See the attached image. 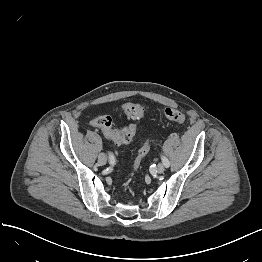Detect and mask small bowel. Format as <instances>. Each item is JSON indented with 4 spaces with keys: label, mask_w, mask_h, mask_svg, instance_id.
<instances>
[{
    "label": "small bowel",
    "mask_w": 262,
    "mask_h": 262,
    "mask_svg": "<svg viewBox=\"0 0 262 262\" xmlns=\"http://www.w3.org/2000/svg\"><path fill=\"white\" fill-rule=\"evenodd\" d=\"M99 118V117H98ZM98 118H95L94 120H92V124L94 125V122L98 119ZM95 126V125H94Z\"/></svg>",
    "instance_id": "c3829d8e"
}]
</instances>
